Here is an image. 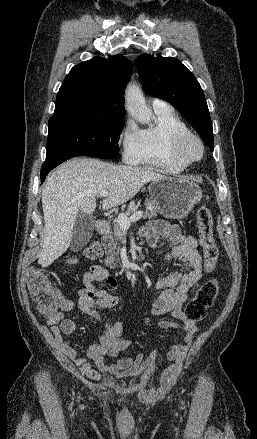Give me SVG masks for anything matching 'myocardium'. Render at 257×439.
I'll use <instances>...</instances> for the list:
<instances>
[{
    "mask_svg": "<svg viewBox=\"0 0 257 439\" xmlns=\"http://www.w3.org/2000/svg\"><path fill=\"white\" fill-rule=\"evenodd\" d=\"M190 143H196L199 146L200 154L198 157H191L188 155L187 147ZM171 151L179 161L189 165L202 160L205 154V146L202 139L198 135L190 131H186L173 138Z\"/></svg>",
    "mask_w": 257,
    "mask_h": 439,
    "instance_id": "obj_1",
    "label": "myocardium"
}]
</instances>
